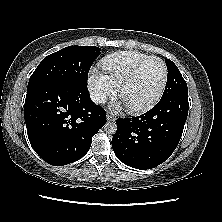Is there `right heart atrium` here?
<instances>
[{
	"mask_svg": "<svg viewBox=\"0 0 222 222\" xmlns=\"http://www.w3.org/2000/svg\"><path fill=\"white\" fill-rule=\"evenodd\" d=\"M88 88L96 103H104L108 98L115 96L117 92V87L112 81L97 69H92L89 73Z\"/></svg>",
	"mask_w": 222,
	"mask_h": 222,
	"instance_id": "obj_1",
	"label": "right heart atrium"
}]
</instances>
